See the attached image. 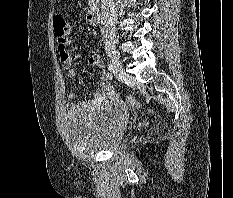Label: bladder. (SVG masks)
<instances>
[{
  "label": "bladder",
  "instance_id": "31cf9c89",
  "mask_svg": "<svg viewBox=\"0 0 233 198\" xmlns=\"http://www.w3.org/2000/svg\"><path fill=\"white\" fill-rule=\"evenodd\" d=\"M128 112L120 102H112L89 113L68 110L63 131L68 145L79 153L114 152L125 142Z\"/></svg>",
  "mask_w": 233,
  "mask_h": 198
}]
</instances>
